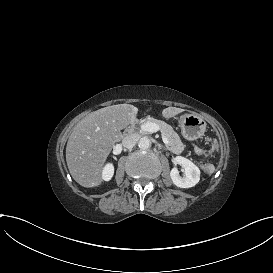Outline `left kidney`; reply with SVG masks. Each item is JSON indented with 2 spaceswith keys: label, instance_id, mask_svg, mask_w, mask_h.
<instances>
[{
  "label": "left kidney",
  "instance_id": "1",
  "mask_svg": "<svg viewBox=\"0 0 273 273\" xmlns=\"http://www.w3.org/2000/svg\"><path fill=\"white\" fill-rule=\"evenodd\" d=\"M175 162L182 167L183 176H180L177 169H172L170 171V178L173 184L179 188L194 187L200 181V169L193 162L184 157H177Z\"/></svg>",
  "mask_w": 273,
  "mask_h": 273
}]
</instances>
